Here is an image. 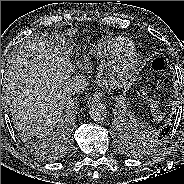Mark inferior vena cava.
Instances as JSON below:
<instances>
[{"label":"inferior vena cava","instance_id":"602c4592","mask_svg":"<svg viewBox=\"0 0 184 184\" xmlns=\"http://www.w3.org/2000/svg\"><path fill=\"white\" fill-rule=\"evenodd\" d=\"M88 85V80L83 75H74L69 81V89L74 93H81L85 91Z\"/></svg>","mask_w":184,"mask_h":184}]
</instances>
